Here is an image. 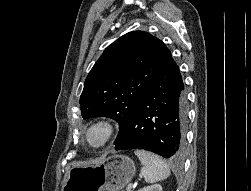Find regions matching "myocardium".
I'll return each mask as SVG.
<instances>
[{
  "label": "myocardium",
  "mask_w": 251,
  "mask_h": 191,
  "mask_svg": "<svg viewBox=\"0 0 251 191\" xmlns=\"http://www.w3.org/2000/svg\"><path fill=\"white\" fill-rule=\"evenodd\" d=\"M99 128L104 132L105 139L103 144L98 147L94 148L89 145H87L84 141L83 136L90 130ZM81 144L83 147L93 153L101 154L105 152L113 143L115 136H116V125L114 121L107 116H97L93 119H91L88 123L85 124V126L82 128L81 133Z\"/></svg>",
  "instance_id": "f54148a6"
}]
</instances>
